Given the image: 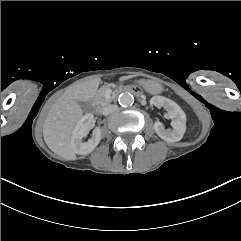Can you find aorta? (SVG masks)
<instances>
[{
  "mask_svg": "<svg viewBox=\"0 0 241 241\" xmlns=\"http://www.w3.org/2000/svg\"><path fill=\"white\" fill-rule=\"evenodd\" d=\"M118 102L121 106H129L134 103V97L132 94L124 92L119 96Z\"/></svg>",
  "mask_w": 241,
  "mask_h": 241,
  "instance_id": "762f6f07",
  "label": "aorta"
}]
</instances>
